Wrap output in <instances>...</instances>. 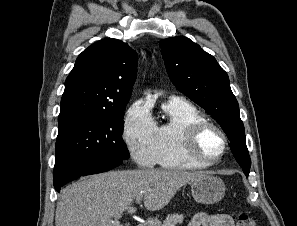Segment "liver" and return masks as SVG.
<instances>
[{"label": "liver", "instance_id": "obj_1", "mask_svg": "<svg viewBox=\"0 0 297 226\" xmlns=\"http://www.w3.org/2000/svg\"><path fill=\"white\" fill-rule=\"evenodd\" d=\"M206 176L176 170L110 171L83 178L66 187L57 203L55 226H121L124 212L143 197L147 210L164 208L183 185Z\"/></svg>", "mask_w": 297, "mask_h": 226}]
</instances>
